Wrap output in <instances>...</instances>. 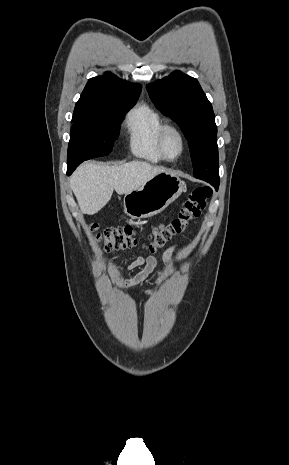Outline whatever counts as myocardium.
Returning a JSON list of instances; mask_svg holds the SVG:
<instances>
[{"label":"myocardium","instance_id":"1","mask_svg":"<svg viewBox=\"0 0 289 465\" xmlns=\"http://www.w3.org/2000/svg\"><path fill=\"white\" fill-rule=\"evenodd\" d=\"M170 134H175L180 141V151L174 157L169 156L166 149L167 139ZM158 147L164 160L169 162L178 160L184 154L186 149V139L181 129L175 124L164 123L159 133Z\"/></svg>","mask_w":289,"mask_h":465}]
</instances>
